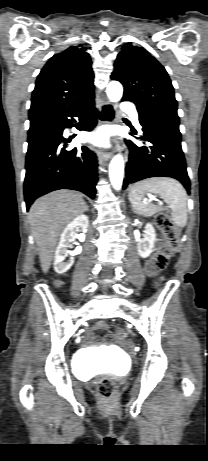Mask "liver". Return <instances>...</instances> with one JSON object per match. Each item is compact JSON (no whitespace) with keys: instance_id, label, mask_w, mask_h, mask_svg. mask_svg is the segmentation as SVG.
Returning <instances> with one entry per match:
<instances>
[{"instance_id":"obj_1","label":"liver","mask_w":208,"mask_h":461,"mask_svg":"<svg viewBox=\"0 0 208 461\" xmlns=\"http://www.w3.org/2000/svg\"><path fill=\"white\" fill-rule=\"evenodd\" d=\"M85 206L82 195L71 190L51 192L37 199L31 206L29 222L44 273L50 269L62 230L72 219L85 211Z\"/></svg>"}]
</instances>
